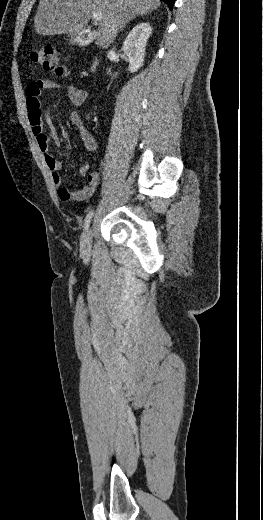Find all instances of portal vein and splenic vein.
<instances>
[{
    "instance_id": "1",
    "label": "portal vein and splenic vein",
    "mask_w": 263,
    "mask_h": 520,
    "mask_svg": "<svg viewBox=\"0 0 263 520\" xmlns=\"http://www.w3.org/2000/svg\"><path fill=\"white\" fill-rule=\"evenodd\" d=\"M92 17L95 21H100L102 19V14L100 12H94Z\"/></svg>"
}]
</instances>
